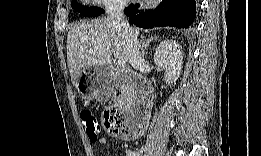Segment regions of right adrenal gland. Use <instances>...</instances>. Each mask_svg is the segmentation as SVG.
Here are the masks:
<instances>
[{"label":"right adrenal gland","instance_id":"right-adrenal-gland-1","mask_svg":"<svg viewBox=\"0 0 261 156\" xmlns=\"http://www.w3.org/2000/svg\"><path fill=\"white\" fill-rule=\"evenodd\" d=\"M157 41L158 40V37L155 36V37H149L148 39H145L144 37H142L141 39V57L144 59L145 55H146V50L149 46V44L153 41Z\"/></svg>","mask_w":261,"mask_h":156}]
</instances>
